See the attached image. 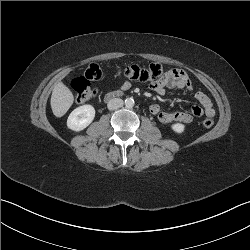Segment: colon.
Segmentation results:
<instances>
[{
    "label": "colon",
    "mask_w": 250,
    "mask_h": 250,
    "mask_svg": "<svg viewBox=\"0 0 250 250\" xmlns=\"http://www.w3.org/2000/svg\"><path fill=\"white\" fill-rule=\"evenodd\" d=\"M118 73L127 79L139 82H158L164 79L166 72L162 65L158 63L150 64L146 67L139 65H128L118 71ZM104 72L98 64H90L85 73L81 77H77L72 82L75 100L78 103H83L91 100L97 94L95 88L90 84L91 81L99 80ZM214 121L211 118H206L203 121V126L209 129L213 126Z\"/></svg>",
    "instance_id": "5ec220e1"
}]
</instances>
